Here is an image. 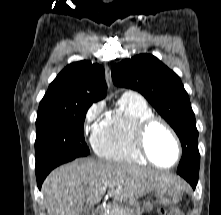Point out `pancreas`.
I'll list each match as a JSON object with an SVG mask.
<instances>
[{
  "label": "pancreas",
  "mask_w": 221,
  "mask_h": 215,
  "mask_svg": "<svg viewBox=\"0 0 221 215\" xmlns=\"http://www.w3.org/2000/svg\"><path fill=\"white\" fill-rule=\"evenodd\" d=\"M107 215H130L125 208L119 206V205H114L108 209V214Z\"/></svg>",
  "instance_id": "pancreas-1"
}]
</instances>
